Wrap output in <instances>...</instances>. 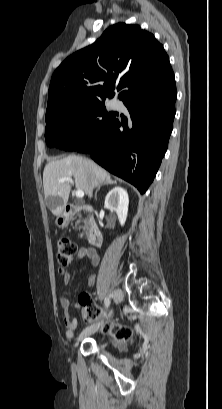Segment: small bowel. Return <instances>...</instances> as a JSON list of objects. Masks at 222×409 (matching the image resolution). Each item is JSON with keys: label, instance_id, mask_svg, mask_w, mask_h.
Listing matches in <instances>:
<instances>
[{"label": "small bowel", "instance_id": "small-bowel-1", "mask_svg": "<svg viewBox=\"0 0 222 409\" xmlns=\"http://www.w3.org/2000/svg\"><path fill=\"white\" fill-rule=\"evenodd\" d=\"M74 259L77 262H81L84 259H88V260H90V262L94 266L98 265L99 262H100V257L98 255V253L95 250L90 249L88 247H80L77 250ZM71 276H72L71 271H68V272H66L64 274V276H63L64 285H67L70 282ZM94 283H95V276L94 275L89 276V278L87 280V284L89 286H92V285H94ZM60 305H61V307L63 309L68 310L69 307H70L69 298L68 297H61L60 298ZM75 307L80 308L81 304H76ZM63 322H64V325L67 328V330L65 332V338L66 339H72L74 331L76 330V328L78 326V319L77 318H72L70 316V314L68 312H66L64 314V316H63Z\"/></svg>", "mask_w": 222, "mask_h": 409}]
</instances>
